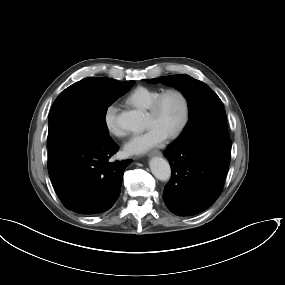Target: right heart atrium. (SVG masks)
Listing matches in <instances>:
<instances>
[{
  "label": "right heart atrium",
  "mask_w": 285,
  "mask_h": 285,
  "mask_svg": "<svg viewBox=\"0 0 285 285\" xmlns=\"http://www.w3.org/2000/svg\"><path fill=\"white\" fill-rule=\"evenodd\" d=\"M118 107L115 104H109L104 110V122L107 130L116 137H124L126 131L118 124Z\"/></svg>",
  "instance_id": "right-heart-atrium-1"
}]
</instances>
